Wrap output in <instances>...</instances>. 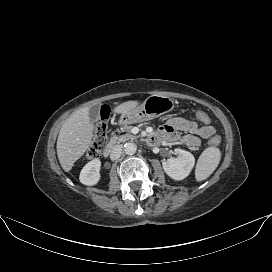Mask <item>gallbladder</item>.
Wrapping results in <instances>:
<instances>
[{
    "instance_id": "1",
    "label": "gallbladder",
    "mask_w": 272,
    "mask_h": 272,
    "mask_svg": "<svg viewBox=\"0 0 272 272\" xmlns=\"http://www.w3.org/2000/svg\"><path fill=\"white\" fill-rule=\"evenodd\" d=\"M89 119L92 123L97 124L100 120V106H92L89 109Z\"/></svg>"
}]
</instances>
